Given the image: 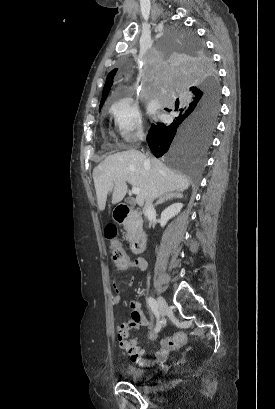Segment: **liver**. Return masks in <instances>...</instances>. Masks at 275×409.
<instances>
[{"label":"liver","mask_w":275,"mask_h":409,"mask_svg":"<svg viewBox=\"0 0 275 409\" xmlns=\"http://www.w3.org/2000/svg\"><path fill=\"white\" fill-rule=\"evenodd\" d=\"M146 154L140 150H123L106 156L93 168V180L97 194V205L104 211L107 194L112 192V202H120L127 192L126 180L141 188L136 196L139 207L144 202L162 196L171 190H185L190 182L186 174L168 168L158 158L146 162Z\"/></svg>","instance_id":"obj_1"}]
</instances>
